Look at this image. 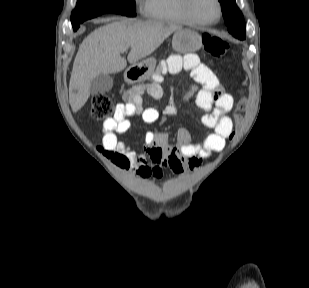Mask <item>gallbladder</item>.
I'll return each mask as SVG.
<instances>
[{
    "label": "gallbladder",
    "instance_id": "gallbladder-1",
    "mask_svg": "<svg viewBox=\"0 0 309 288\" xmlns=\"http://www.w3.org/2000/svg\"><path fill=\"white\" fill-rule=\"evenodd\" d=\"M113 78L109 74H100L96 76L90 85L91 94L105 93L112 89Z\"/></svg>",
    "mask_w": 309,
    "mask_h": 288
}]
</instances>
